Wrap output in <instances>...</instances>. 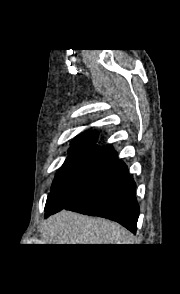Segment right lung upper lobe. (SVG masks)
Returning a JSON list of instances; mask_svg holds the SVG:
<instances>
[{
  "label": "right lung upper lobe",
  "mask_w": 180,
  "mask_h": 294,
  "mask_svg": "<svg viewBox=\"0 0 180 294\" xmlns=\"http://www.w3.org/2000/svg\"><path fill=\"white\" fill-rule=\"evenodd\" d=\"M96 131H90L74 138L71 144H95L98 140Z\"/></svg>",
  "instance_id": "cb5924a9"
}]
</instances>
